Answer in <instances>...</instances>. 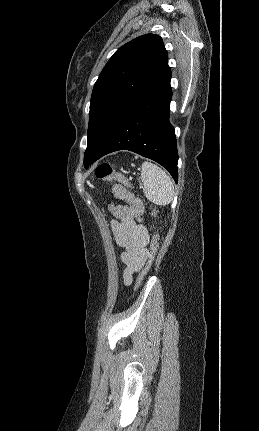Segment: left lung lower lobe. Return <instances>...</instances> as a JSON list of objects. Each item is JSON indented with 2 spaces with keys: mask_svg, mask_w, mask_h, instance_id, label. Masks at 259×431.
Listing matches in <instances>:
<instances>
[{
  "mask_svg": "<svg viewBox=\"0 0 259 431\" xmlns=\"http://www.w3.org/2000/svg\"><path fill=\"white\" fill-rule=\"evenodd\" d=\"M170 79L171 71L120 119L90 164L111 152L129 150L161 164L177 183V143L169 122Z\"/></svg>",
  "mask_w": 259,
  "mask_h": 431,
  "instance_id": "left-lung-lower-lobe-1",
  "label": "left lung lower lobe"
}]
</instances>
